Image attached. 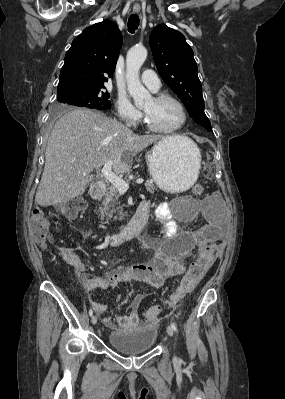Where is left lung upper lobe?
<instances>
[{
    "label": "left lung upper lobe",
    "mask_w": 285,
    "mask_h": 399,
    "mask_svg": "<svg viewBox=\"0 0 285 399\" xmlns=\"http://www.w3.org/2000/svg\"><path fill=\"white\" fill-rule=\"evenodd\" d=\"M149 45L161 78L184 103L193 120L212 131L204 113L194 53L184 35L164 24L158 25L150 34Z\"/></svg>",
    "instance_id": "obj_1"
}]
</instances>
